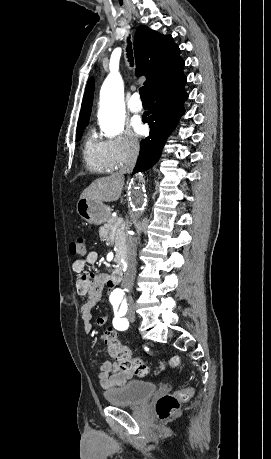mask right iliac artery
Here are the masks:
<instances>
[{
    "instance_id": "82829eb1",
    "label": "right iliac artery",
    "mask_w": 271,
    "mask_h": 459,
    "mask_svg": "<svg viewBox=\"0 0 271 459\" xmlns=\"http://www.w3.org/2000/svg\"><path fill=\"white\" fill-rule=\"evenodd\" d=\"M110 301H111V303H115L117 306H118V305H119V303H120V301H119V300H117V301H113V300H110Z\"/></svg>"
}]
</instances>
